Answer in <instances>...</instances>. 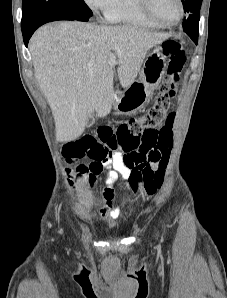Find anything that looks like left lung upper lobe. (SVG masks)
Returning <instances> with one entry per match:
<instances>
[{
    "label": "left lung upper lobe",
    "instance_id": "left-lung-upper-lobe-1",
    "mask_svg": "<svg viewBox=\"0 0 227 298\" xmlns=\"http://www.w3.org/2000/svg\"><path fill=\"white\" fill-rule=\"evenodd\" d=\"M183 3L184 11L189 14L184 19L182 26L184 31L195 42L198 40V24L200 18V8L202 0H181Z\"/></svg>",
    "mask_w": 227,
    "mask_h": 298
}]
</instances>
